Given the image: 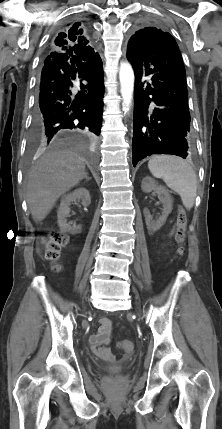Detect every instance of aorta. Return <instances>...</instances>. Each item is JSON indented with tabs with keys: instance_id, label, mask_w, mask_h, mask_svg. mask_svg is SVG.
Listing matches in <instances>:
<instances>
[{
	"instance_id": "aorta-1",
	"label": "aorta",
	"mask_w": 222,
	"mask_h": 429,
	"mask_svg": "<svg viewBox=\"0 0 222 429\" xmlns=\"http://www.w3.org/2000/svg\"><path fill=\"white\" fill-rule=\"evenodd\" d=\"M119 79L123 99V110L126 112L130 108L134 89V71L129 63H121Z\"/></svg>"
}]
</instances>
